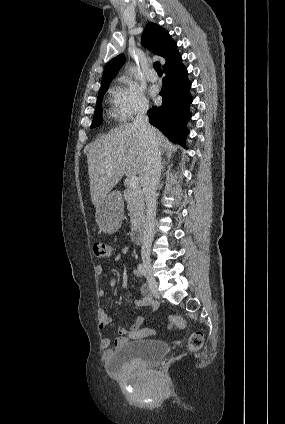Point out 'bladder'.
<instances>
[{
  "mask_svg": "<svg viewBox=\"0 0 285 424\" xmlns=\"http://www.w3.org/2000/svg\"><path fill=\"white\" fill-rule=\"evenodd\" d=\"M167 343L158 340H136L128 342L112 352L109 368L122 373L135 365L153 367L158 365L168 354Z\"/></svg>",
  "mask_w": 285,
  "mask_h": 424,
  "instance_id": "obj_1",
  "label": "bladder"
}]
</instances>
